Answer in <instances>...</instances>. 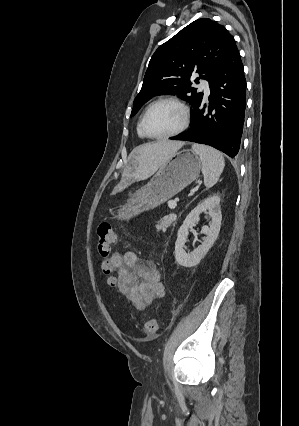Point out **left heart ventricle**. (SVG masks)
I'll return each instance as SVG.
<instances>
[{"label": "left heart ventricle", "instance_id": "obj_1", "mask_svg": "<svg viewBox=\"0 0 299 426\" xmlns=\"http://www.w3.org/2000/svg\"><path fill=\"white\" fill-rule=\"evenodd\" d=\"M182 121L183 113L177 105L161 103L148 114L146 128L153 135H165L177 130Z\"/></svg>", "mask_w": 299, "mask_h": 426}]
</instances>
